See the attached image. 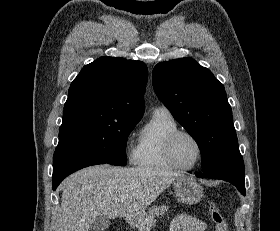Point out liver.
Wrapping results in <instances>:
<instances>
[{
    "mask_svg": "<svg viewBox=\"0 0 280 231\" xmlns=\"http://www.w3.org/2000/svg\"><path fill=\"white\" fill-rule=\"evenodd\" d=\"M176 177V171L158 173L145 167L91 165L71 173L61 183V211L55 231H89V223L102 215L106 219H144L145 209ZM124 199V201H119Z\"/></svg>",
    "mask_w": 280,
    "mask_h": 231,
    "instance_id": "1",
    "label": "liver"
}]
</instances>
